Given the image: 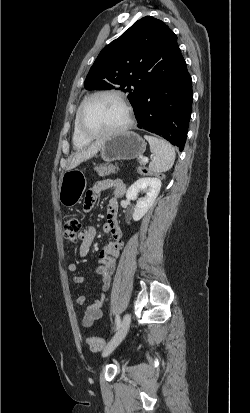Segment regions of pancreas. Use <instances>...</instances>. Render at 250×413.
Masks as SVG:
<instances>
[{
  "mask_svg": "<svg viewBox=\"0 0 250 413\" xmlns=\"http://www.w3.org/2000/svg\"><path fill=\"white\" fill-rule=\"evenodd\" d=\"M140 164H143V161L140 160ZM94 170L98 173L99 176H108L111 173H115L118 170L117 165H113V164H101L99 166H96L94 168ZM138 172L140 174H143L141 172V168H139Z\"/></svg>",
  "mask_w": 250,
  "mask_h": 413,
  "instance_id": "pancreas-1",
  "label": "pancreas"
}]
</instances>
